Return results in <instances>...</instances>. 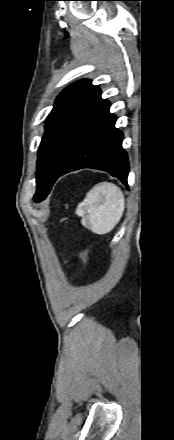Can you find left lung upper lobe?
Wrapping results in <instances>:
<instances>
[{
  "label": "left lung upper lobe",
  "instance_id": "5c2ea615",
  "mask_svg": "<svg viewBox=\"0 0 174 440\" xmlns=\"http://www.w3.org/2000/svg\"><path fill=\"white\" fill-rule=\"evenodd\" d=\"M103 101L100 89L89 80L70 85L57 97L38 150L36 202L48 195L85 124Z\"/></svg>",
  "mask_w": 174,
  "mask_h": 440
}]
</instances>
